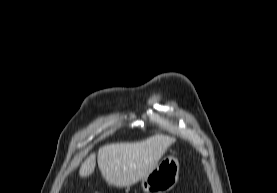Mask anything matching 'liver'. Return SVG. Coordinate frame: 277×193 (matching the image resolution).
Wrapping results in <instances>:
<instances>
[{
  "label": "liver",
  "mask_w": 277,
  "mask_h": 193,
  "mask_svg": "<svg viewBox=\"0 0 277 193\" xmlns=\"http://www.w3.org/2000/svg\"><path fill=\"white\" fill-rule=\"evenodd\" d=\"M175 138L151 136L134 143H116L98 150V167L109 185L131 186L149 174L158 164ZM96 166V154H91L81 165L79 175L90 176Z\"/></svg>",
  "instance_id": "6515ba94"
}]
</instances>
